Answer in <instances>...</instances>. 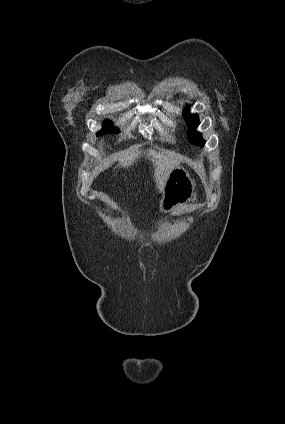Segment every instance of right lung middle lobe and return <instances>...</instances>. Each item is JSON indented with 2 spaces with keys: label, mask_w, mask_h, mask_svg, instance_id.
Returning <instances> with one entry per match:
<instances>
[{
  "label": "right lung middle lobe",
  "mask_w": 285,
  "mask_h": 424,
  "mask_svg": "<svg viewBox=\"0 0 285 424\" xmlns=\"http://www.w3.org/2000/svg\"><path fill=\"white\" fill-rule=\"evenodd\" d=\"M106 133L117 134V133H119V130L117 128L113 127V125L111 124L110 121H106V122L103 123V129L100 130L97 135L99 136V135H103V134H106Z\"/></svg>",
  "instance_id": "dd1d6c3e"
}]
</instances>
